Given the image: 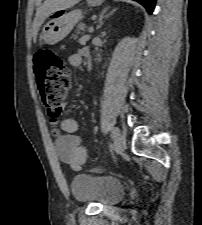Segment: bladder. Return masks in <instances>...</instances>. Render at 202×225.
Masks as SVG:
<instances>
[{
	"mask_svg": "<svg viewBox=\"0 0 202 225\" xmlns=\"http://www.w3.org/2000/svg\"><path fill=\"white\" fill-rule=\"evenodd\" d=\"M69 187L74 199L80 203L111 206L124 197V186L120 180L95 171L78 174Z\"/></svg>",
	"mask_w": 202,
	"mask_h": 225,
	"instance_id": "obj_1",
	"label": "bladder"
}]
</instances>
